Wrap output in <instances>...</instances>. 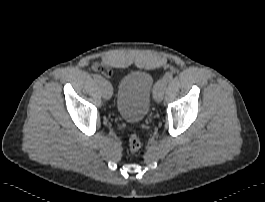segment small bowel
<instances>
[{
	"label": "small bowel",
	"mask_w": 265,
	"mask_h": 202,
	"mask_svg": "<svg viewBox=\"0 0 265 202\" xmlns=\"http://www.w3.org/2000/svg\"><path fill=\"white\" fill-rule=\"evenodd\" d=\"M95 67H98V65L97 64H95ZM104 70V72L107 74V75H110L111 73H112V71H111V69L110 68H104L103 69Z\"/></svg>",
	"instance_id": "c3829d8e"
}]
</instances>
